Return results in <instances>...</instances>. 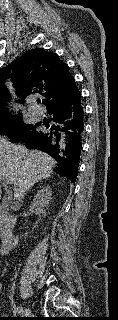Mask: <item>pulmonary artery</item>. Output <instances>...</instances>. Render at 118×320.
Segmentation results:
<instances>
[{"instance_id":"obj_1","label":"pulmonary artery","mask_w":118,"mask_h":320,"mask_svg":"<svg viewBox=\"0 0 118 320\" xmlns=\"http://www.w3.org/2000/svg\"><path fill=\"white\" fill-rule=\"evenodd\" d=\"M29 111L36 117L40 116L41 115V111L39 108L35 107V106H32L30 105L28 107Z\"/></svg>"}]
</instances>
